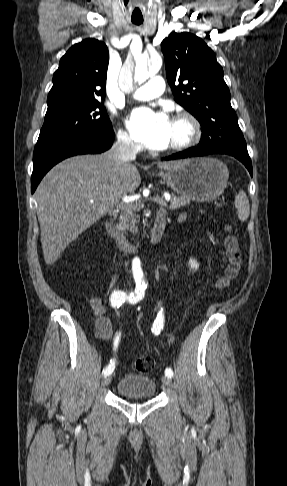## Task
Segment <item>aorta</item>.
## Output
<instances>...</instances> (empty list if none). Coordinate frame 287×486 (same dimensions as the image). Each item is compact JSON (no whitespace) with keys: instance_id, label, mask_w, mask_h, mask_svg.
Here are the masks:
<instances>
[{"instance_id":"aorta-1","label":"aorta","mask_w":287,"mask_h":486,"mask_svg":"<svg viewBox=\"0 0 287 486\" xmlns=\"http://www.w3.org/2000/svg\"><path fill=\"white\" fill-rule=\"evenodd\" d=\"M161 66H162V59L160 57L153 58L149 66H147L146 61L137 63L134 70V82L138 84H142L144 81H146V79L149 76H153L156 73H158ZM121 85L123 89L127 88V85L124 81H122ZM132 269H133L135 280L144 283L143 274L140 268V260L138 258H135L133 260Z\"/></svg>"}]
</instances>
